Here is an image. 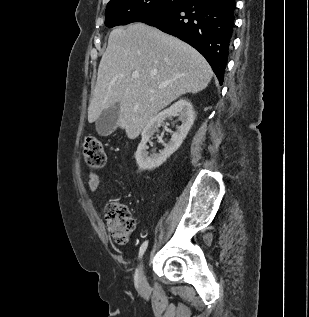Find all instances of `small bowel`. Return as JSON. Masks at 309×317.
I'll list each match as a JSON object with an SVG mask.
<instances>
[{"label":"small bowel","instance_id":"c3829d8e","mask_svg":"<svg viewBox=\"0 0 309 317\" xmlns=\"http://www.w3.org/2000/svg\"><path fill=\"white\" fill-rule=\"evenodd\" d=\"M100 186V177L94 172L90 171L88 176V188L91 192H96Z\"/></svg>","mask_w":309,"mask_h":317}]
</instances>
